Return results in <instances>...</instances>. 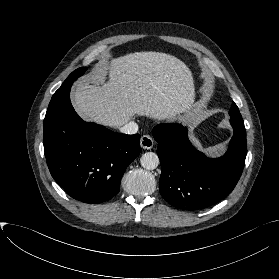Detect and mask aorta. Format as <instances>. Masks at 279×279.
Returning <instances> with one entry per match:
<instances>
[{
  "label": "aorta",
  "instance_id": "aorta-1",
  "mask_svg": "<svg viewBox=\"0 0 279 279\" xmlns=\"http://www.w3.org/2000/svg\"><path fill=\"white\" fill-rule=\"evenodd\" d=\"M141 166L147 170H153L159 165V158L154 152H146L141 156Z\"/></svg>",
  "mask_w": 279,
  "mask_h": 279
}]
</instances>
